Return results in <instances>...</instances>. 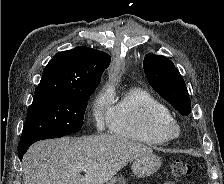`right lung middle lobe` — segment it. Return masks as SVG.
I'll return each instance as SVG.
<instances>
[{
    "label": "right lung middle lobe",
    "mask_w": 224,
    "mask_h": 184,
    "mask_svg": "<svg viewBox=\"0 0 224 184\" xmlns=\"http://www.w3.org/2000/svg\"><path fill=\"white\" fill-rule=\"evenodd\" d=\"M94 90L35 93L18 146L79 131Z\"/></svg>",
    "instance_id": "right-lung-middle-lobe-1"
}]
</instances>
